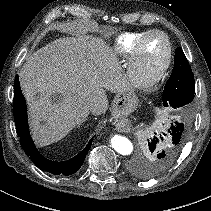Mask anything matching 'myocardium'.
I'll return each mask as SVG.
<instances>
[{
    "label": "myocardium",
    "instance_id": "myocardium-1",
    "mask_svg": "<svg viewBox=\"0 0 211 211\" xmlns=\"http://www.w3.org/2000/svg\"><path fill=\"white\" fill-rule=\"evenodd\" d=\"M153 35H160L166 42V56L159 68L149 77L142 78L139 75L140 57L144 43ZM172 61V44L169 37L160 30L148 31L135 44L133 54L129 62L128 76L131 84L140 90L149 91L153 89L165 76Z\"/></svg>",
    "mask_w": 211,
    "mask_h": 211
}]
</instances>
